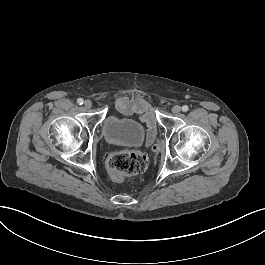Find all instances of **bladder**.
I'll list each match as a JSON object with an SVG mask.
<instances>
[{"label": "bladder", "instance_id": "31cf9c89", "mask_svg": "<svg viewBox=\"0 0 265 265\" xmlns=\"http://www.w3.org/2000/svg\"><path fill=\"white\" fill-rule=\"evenodd\" d=\"M102 134L108 143L137 146L142 143L145 131L143 126L135 120L109 115L103 121Z\"/></svg>", "mask_w": 265, "mask_h": 265}]
</instances>
